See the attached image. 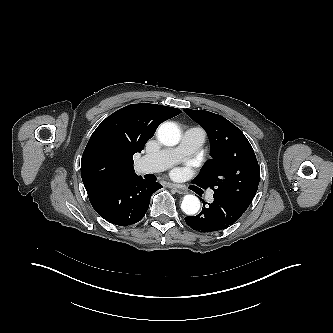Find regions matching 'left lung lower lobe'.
Segmentation results:
<instances>
[{
    "mask_svg": "<svg viewBox=\"0 0 333 333\" xmlns=\"http://www.w3.org/2000/svg\"><path fill=\"white\" fill-rule=\"evenodd\" d=\"M214 202L208 204L201 213L196 216L186 217V223L199 232L211 233L223 230L238 220L247 210L241 205L225 199L218 195H213Z\"/></svg>",
    "mask_w": 333,
    "mask_h": 333,
    "instance_id": "obj_1",
    "label": "left lung lower lobe"
}]
</instances>
